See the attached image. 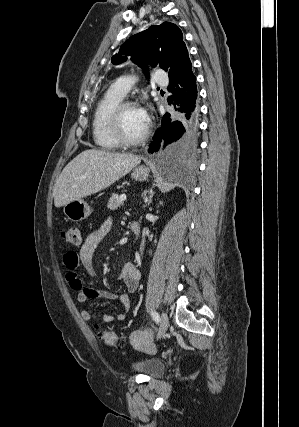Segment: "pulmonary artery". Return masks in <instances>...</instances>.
<instances>
[{"label":"pulmonary artery","mask_w":299,"mask_h":427,"mask_svg":"<svg viewBox=\"0 0 299 427\" xmlns=\"http://www.w3.org/2000/svg\"><path fill=\"white\" fill-rule=\"evenodd\" d=\"M155 80L161 85H164L167 83L165 73L162 69L158 68L155 71ZM133 85H134V80L130 76L122 75L113 82L111 88L121 96L125 97Z\"/></svg>","instance_id":"e3ab8cb5"}]
</instances>
